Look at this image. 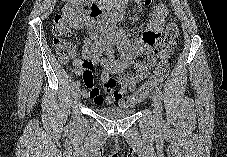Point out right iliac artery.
Instances as JSON below:
<instances>
[{
  "mask_svg": "<svg viewBox=\"0 0 227 157\" xmlns=\"http://www.w3.org/2000/svg\"><path fill=\"white\" fill-rule=\"evenodd\" d=\"M79 85H80V82L78 80L74 82V87L75 88L79 87Z\"/></svg>",
  "mask_w": 227,
  "mask_h": 157,
  "instance_id": "1",
  "label": "right iliac artery"
}]
</instances>
